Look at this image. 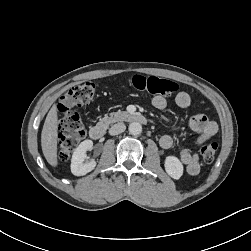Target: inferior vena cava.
Segmentation results:
<instances>
[{"mask_svg":"<svg viewBox=\"0 0 251 251\" xmlns=\"http://www.w3.org/2000/svg\"><path fill=\"white\" fill-rule=\"evenodd\" d=\"M126 129V126L124 123H117L114 124L110 129H109V134L110 135H118L122 132H124Z\"/></svg>","mask_w":251,"mask_h":251,"instance_id":"1","label":"inferior vena cava"}]
</instances>
